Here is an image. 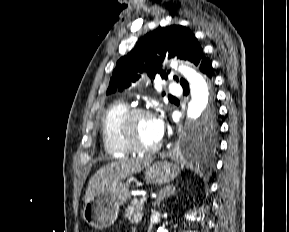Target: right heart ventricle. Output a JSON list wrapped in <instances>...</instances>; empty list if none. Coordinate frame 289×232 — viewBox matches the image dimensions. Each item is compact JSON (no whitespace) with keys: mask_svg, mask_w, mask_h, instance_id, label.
<instances>
[{"mask_svg":"<svg viewBox=\"0 0 289 232\" xmlns=\"http://www.w3.org/2000/svg\"><path fill=\"white\" fill-rule=\"evenodd\" d=\"M129 106L123 101L110 104L101 120V137L105 151L112 157L123 158L131 156V150L120 135V122Z\"/></svg>","mask_w":289,"mask_h":232,"instance_id":"e07e8e85","label":"right heart ventricle"}]
</instances>
